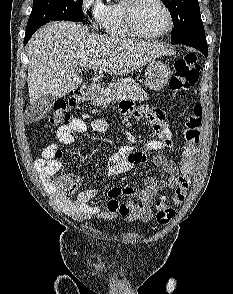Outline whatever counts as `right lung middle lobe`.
<instances>
[{"label":"right lung middle lobe","instance_id":"dd1d6c3e","mask_svg":"<svg viewBox=\"0 0 233 294\" xmlns=\"http://www.w3.org/2000/svg\"><path fill=\"white\" fill-rule=\"evenodd\" d=\"M82 3L83 0H33L26 32L32 34L49 21L82 22Z\"/></svg>","mask_w":233,"mask_h":294}]
</instances>
